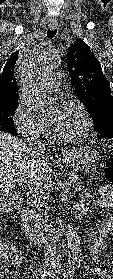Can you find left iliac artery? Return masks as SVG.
<instances>
[{"label": "left iliac artery", "instance_id": "left-iliac-artery-1", "mask_svg": "<svg viewBox=\"0 0 113 279\" xmlns=\"http://www.w3.org/2000/svg\"><path fill=\"white\" fill-rule=\"evenodd\" d=\"M72 271H68V272H64V279H72V275H71Z\"/></svg>", "mask_w": 113, "mask_h": 279}]
</instances>
